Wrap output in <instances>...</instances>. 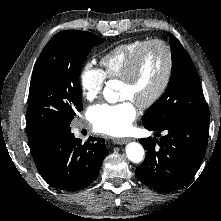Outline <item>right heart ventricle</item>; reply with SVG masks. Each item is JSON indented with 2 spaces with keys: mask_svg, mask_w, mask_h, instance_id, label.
Listing matches in <instances>:
<instances>
[{
  "mask_svg": "<svg viewBox=\"0 0 221 221\" xmlns=\"http://www.w3.org/2000/svg\"><path fill=\"white\" fill-rule=\"evenodd\" d=\"M145 40H134L118 44L100 57V65L106 78L120 79L127 65Z\"/></svg>",
  "mask_w": 221,
  "mask_h": 221,
  "instance_id": "e07e8e85",
  "label": "right heart ventricle"
}]
</instances>
